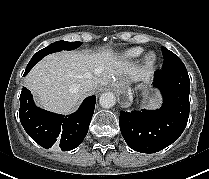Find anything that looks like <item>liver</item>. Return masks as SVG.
<instances>
[{
  "label": "liver",
  "instance_id": "obj_1",
  "mask_svg": "<svg viewBox=\"0 0 209 179\" xmlns=\"http://www.w3.org/2000/svg\"><path fill=\"white\" fill-rule=\"evenodd\" d=\"M117 81H145L150 72L137 68L119 58L112 50L98 53L63 51L46 56L38 62L25 78V84L44 109L71 112L85 94L80 84L87 79L94 81V88Z\"/></svg>",
  "mask_w": 209,
  "mask_h": 179
}]
</instances>
